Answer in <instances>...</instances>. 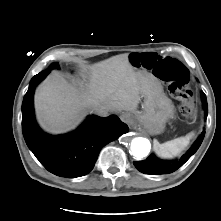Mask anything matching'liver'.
<instances>
[{
  "label": "liver",
  "instance_id": "obj_1",
  "mask_svg": "<svg viewBox=\"0 0 221 221\" xmlns=\"http://www.w3.org/2000/svg\"><path fill=\"white\" fill-rule=\"evenodd\" d=\"M90 81L76 88L58 75L47 78L34 97L40 126L53 134L74 129L88 110L135 111L150 75L137 72L128 54H121L90 66Z\"/></svg>",
  "mask_w": 221,
  "mask_h": 221
}]
</instances>
